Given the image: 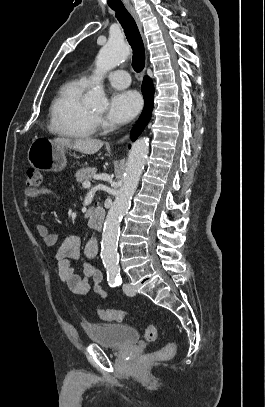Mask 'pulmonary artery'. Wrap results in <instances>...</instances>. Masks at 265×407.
<instances>
[{"mask_svg":"<svg viewBox=\"0 0 265 407\" xmlns=\"http://www.w3.org/2000/svg\"><path fill=\"white\" fill-rule=\"evenodd\" d=\"M106 79L109 81V83L113 87L119 88V89L128 87L131 82L129 74L124 70L111 71L106 75ZM81 80L85 84H88L91 80V75H85L81 78Z\"/></svg>","mask_w":265,"mask_h":407,"instance_id":"e3ab8cb5","label":"pulmonary artery"}]
</instances>
